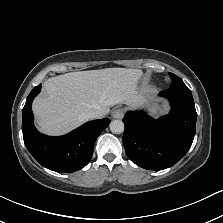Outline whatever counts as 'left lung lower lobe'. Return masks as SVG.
<instances>
[{"instance_id":"1","label":"left lung lower lobe","mask_w":223,"mask_h":223,"mask_svg":"<svg viewBox=\"0 0 223 223\" xmlns=\"http://www.w3.org/2000/svg\"><path fill=\"white\" fill-rule=\"evenodd\" d=\"M171 105L168 115L155 120L145 112H128L123 122V143L129 159L148 170H163L177 163L190 149L197 113L190 90L160 92Z\"/></svg>"}]
</instances>
